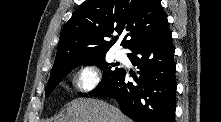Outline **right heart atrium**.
<instances>
[{
    "instance_id": "1",
    "label": "right heart atrium",
    "mask_w": 221,
    "mask_h": 122,
    "mask_svg": "<svg viewBox=\"0 0 221 122\" xmlns=\"http://www.w3.org/2000/svg\"><path fill=\"white\" fill-rule=\"evenodd\" d=\"M100 72L95 65L81 66L73 77V86L76 91L88 93L93 91L100 83Z\"/></svg>"
}]
</instances>
